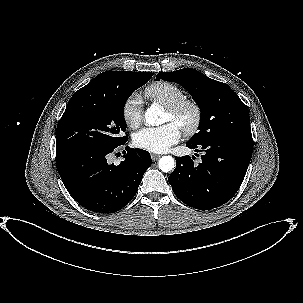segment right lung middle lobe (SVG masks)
Here are the masks:
<instances>
[{
  "mask_svg": "<svg viewBox=\"0 0 303 303\" xmlns=\"http://www.w3.org/2000/svg\"><path fill=\"white\" fill-rule=\"evenodd\" d=\"M141 73L118 84L84 88L71 97L56 130V149L70 146L114 147L127 136L124 106L129 96L151 78Z\"/></svg>",
  "mask_w": 303,
  "mask_h": 303,
  "instance_id": "right-lung-middle-lobe-1",
  "label": "right lung middle lobe"
}]
</instances>
